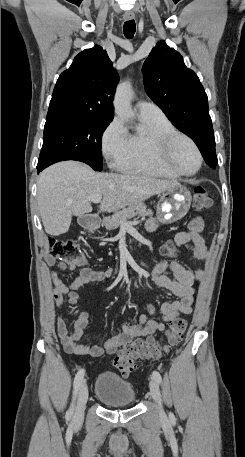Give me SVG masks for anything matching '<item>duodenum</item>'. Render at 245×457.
Returning a JSON list of instances; mask_svg holds the SVG:
<instances>
[{
  "instance_id": "obj_1",
  "label": "duodenum",
  "mask_w": 245,
  "mask_h": 457,
  "mask_svg": "<svg viewBox=\"0 0 245 457\" xmlns=\"http://www.w3.org/2000/svg\"><path fill=\"white\" fill-rule=\"evenodd\" d=\"M96 217L93 216V215H88V216H85L83 219H82V224L85 225V226H92L96 223Z\"/></svg>"
}]
</instances>
